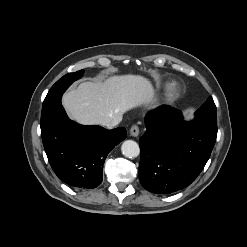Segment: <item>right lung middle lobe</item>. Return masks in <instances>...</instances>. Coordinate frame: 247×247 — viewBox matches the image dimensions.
<instances>
[{
    "label": "right lung middle lobe",
    "mask_w": 247,
    "mask_h": 247,
    "mask_svg": "<svg viewBox=\"0 0 247 247\" xmlns=\"http://www.w3.org/2000/svg\"><path fill=\"white\" fill-rule=\"evenodd\" d=\"M83 70L77 71L75 73H68L62 78H60L49 90L42 106V110L48 108L57 102L61 101L62 94L65 90L77 79L81 78L83 75Z\"/></svg>",
    "instance_id": "1"
}]
</instances>
